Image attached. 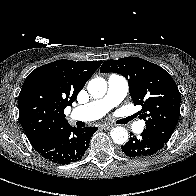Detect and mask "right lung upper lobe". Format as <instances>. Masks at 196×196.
Listing matches in <instances>:
<instances>
[{"instance_id": "right-lung-upper-lobe-1", "label": "right lung upper lobe", "mask_w": 196, "mask_h": 196, "mask_svg": "<svg viewBox=\"0 0 196 196\" xmlns=\"http://www.w3.org/2000/svg\"><path fill=\"white\" fill-rule=\"evenodd\" d=\"M102 61L57 60L32 71L19 94V119L33 147L66 127L64 109Z\"/></svg>"}]
</instances>
